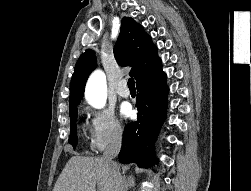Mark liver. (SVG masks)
<instances>
[{
    "instance_id": "obj_1",
    "label": "liver",
    "mask_w": 251,
    "mask_h": 191,
    "mask_svg": "<svg viewBox=\"0 0 251 191\" xmlns=\"http://www.w3.org/2000/svg\"><path fill=\"white\" fill-rule=\"evenodd\" d=\"M119 163L103 157L72 155L62 169L53 191H116L115 175H120Z\"/></svg>"
}]
</instances>
